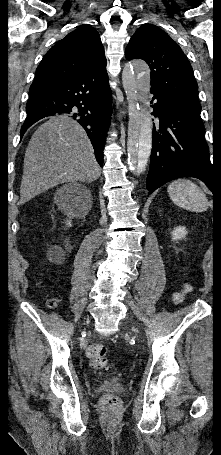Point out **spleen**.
Returning <instances> with one entry per match:
<instances>
[{
  "instance_id": "3e777b00",
  "label": "spleen",
  "mask_w": 221,
  "mask_h": 455,
  "mask_svg": "<svg viewBox=\"0 0 221 455\" xmlns=\"http://www.w3.org/2000/svg\"><path fill=\"white\" fill-rule=\"evenodd\" d=\"M170 199L179 207L193 212H204L208 209L205 193L192 181L177 179L167 188Z\"/></svg>"
}]
</instances>
